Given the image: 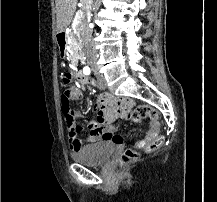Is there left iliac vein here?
Wrapping results in <instances>:
<instances>
[{
	"label": "left iliac vein",
	"mask_w": 217,
	"mask_h": 202,
	"mask_svg": "<svg viewBox=\"0 0 217 202\" xmlns=\"http://www.w3.org/2000/svg\"><path fill=\"white\" fill-rule=\"evenodd\" d=\"M106 87L107 86H106L105 80L102 77H100L99 82H98V88L100 90H104V89H106Z\"/></svg>",
	"instance_id": "4c4485c4"
}]
</instances>
